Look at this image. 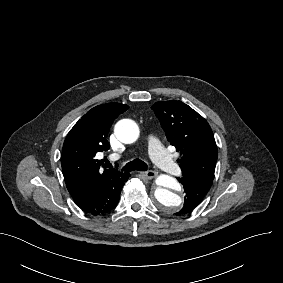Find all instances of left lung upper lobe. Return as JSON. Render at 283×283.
Returning a JSON list of instances; mask_svg holds the SVG:
<instances>
[{
    "mask_svg": "<svg viewBox=\"0 0 283 283\" xmlns=\"http://www.w3.org/2000/svg\"><path fill=\"white\" fill-rule=\"evenodd\" d=\"M153 110L168 141L182 155V175L213 183L218 151L207 121L181 101L156 102Z\"/></svg>",
    "mask_w": 283,
    "mask_h": 283,
    "instance_id": "left-lung-upper-lobe-1",
    "label": "left lung upper lobe"
}]
</instances>
